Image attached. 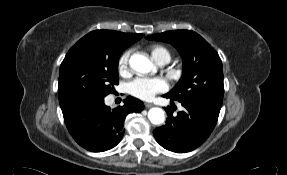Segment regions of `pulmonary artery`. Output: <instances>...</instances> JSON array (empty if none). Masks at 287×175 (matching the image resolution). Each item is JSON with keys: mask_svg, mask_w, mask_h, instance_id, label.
Instances as JSON below:
<instances>
[{"mask_svg": "<svg viewBox=\"0 0 287 175\" xmlns=\"http://www.w3.org/2000/svg\"><path fill=\"white\" fill-rule=\"evenodd\" d=\"M168 63V61L167 60H160V61H158V64L159 65H165V64H167Z\"/></svg>", "mask_w": 287, "mask_h": 175, "instance_id": "obj_1", "label": "pulmonary artery"}]
</instances>
